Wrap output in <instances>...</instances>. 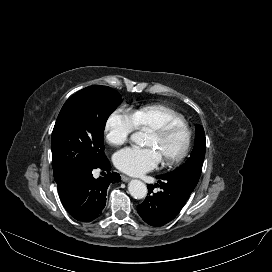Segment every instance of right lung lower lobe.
<instances>
[{
  "label": "right lung lower lobe",
  "instance_id": "98d812e1",
  "mask_svg": "<svg viewBox=\"0 0 272 272\" xmlns=\"http://www.w3.org/2000/svg\"><path fill=\"white\" fill-rule=\"evenodd\" d=\"M108 171L105 177L95 179L92 170ZM108 159L100 165L78 171L58 187L59 197L67 212L76 220L90 222L99 217L106 204V192L111 182H119L118 173L109 172Z\"/></svg>",
  "mask_w": 272,
  "mask_h": 272
}]
</instances>
